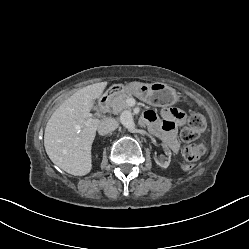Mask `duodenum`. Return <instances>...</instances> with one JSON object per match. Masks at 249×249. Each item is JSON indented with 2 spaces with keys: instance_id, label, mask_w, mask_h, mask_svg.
I'll list each match as a JSON object with an SVG mask.
<instances>
[{
  "instance_id": "1",
  "label": "duodenum",
  "mask_w": 249,
  "mask_h": 249,
  "mask_svg": "<svg viewBox=\"0 0 249 249\" xmlns=\"http://www.w3.org/2000/svg\"><path fill=\"white\" fill-rule=\"evenodd\" d=\"M114 94L110 93L109 91L100 99L99 101V110L104 112L107 106L108 101Z\"/></svg>"
}]
</instances>
